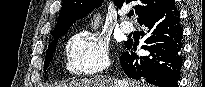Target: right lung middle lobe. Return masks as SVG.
I'll return each mask as SVG.
<instances>
[{
  "label": "right lung middle lobe",
  "mask_w": 205,
  "mask_h": 87,
  "mask_svg": "<svg viewBox=\"0 0 205 87\" xmlns=\"http://www.w3.org/2000/svg\"><path fill=\"white\" fill-rule=\"evenodd\" d=\"M60 37H57L53 40V42L51 43V45L48 47V50H47V53H46V57H45V62H44V71L46 72V69L53 57V53L55 51V48H56V44H57V40L59 39Z\"/></svg>",
  "instance_id": "obj_1"
}]
</instances>
